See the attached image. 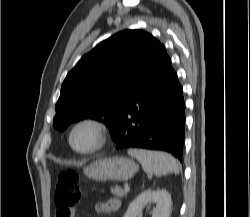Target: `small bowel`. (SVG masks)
Segmentation results:
<instances>
[{
    "label": "small bowel",
    "instance_id": "obj_1",
    "mask_svg": "<svg viewBox=\"0 0 250 217\" xmlns=\"http://www.w3.org/2000/svg\"><path fill=\"white\" fill-rule=\"evenodd\" d=\"M120 206H121V202H120L119 199H117V198H111L108 201L99 204L98 210L101 213L110 214V213L117 212L120 209ZM77 212H78V210H74L73 211L74 214L77 213ZM68 217H69V215H68Z\"/></svg>",
    "mask_w": 250,
    "mask_h": 217
}]
</instances>
